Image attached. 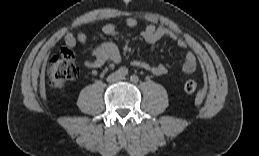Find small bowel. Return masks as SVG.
<instances>
[{"label": "small bowel", "instance_id": "c3829d8e", "mask_svg": "<svg viewBox=\"0 0 259 156\" xmlns=\"http://www.w3.org/2000/svg\"><path fill=\"white\" fill-rule=\"evenodd\" d=\"M125 24L130 28H135L138 22L133 17H127L125 19ZM101 34L105 37H115L118 35V30L113 24H105L101 28ZM143 39L155 47L157 42L162 38H169L175 40L180 48L186 47L185 40L178 38L177 35L165 28L156 27L153 24H147L141 33ZM65 44L69 48H73L77 43L85 45L87 42V35L84 32H79L76 35L72 33H67L64 37ZM93 60L85 62L86 67L89 68H102L107 62L111 61L114 63H119L121 60V55L117 46L109 41L103 42L96 46L92 52ZM132 66L136 68H141L147 70L155 75H163L167 72V67L163 64H150L140 60L132 61ZM196 69V56L193 52H188L184 58L182 64V72L185 74H190Z\"/></svg>", "mask_w": 259, "mask_h": 156}]
</instances>
